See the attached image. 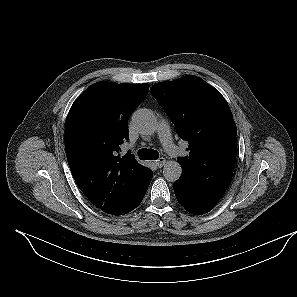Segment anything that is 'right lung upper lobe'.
<instances>
[{
  "mask_svg": "<svg viewBox=\"0 0 297 297\" xmlns=\"http://www.w3.org/2000/svg\"><path fill=\"white\" fill-rule=\"evenodd\" d=\"M148 84L97 82L73 103L65 126V149L72 175L85 196L105 213L121 209L151 174L120 145L128 119L145 99Z\"/></svg>",
  "mask_w": 297,
  "mask_h": 297,
  "instance_id": "right-lung-upper-lobe-1",
  "label": "right lung upper lobe"
}]
</instances>
